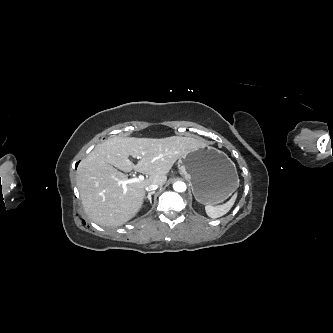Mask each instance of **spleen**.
Masks as SVG:
<instances>
[{
  "mask_svg": "<svg viewBox=\"0 0 333 333\" xmlns=\"http://www.w3.org/2000/svg\"><path fill=\"white\" fill-rule=\"evenodd\" d=\"M238 184H239V180H238ZM236 198H237V194H234L231 197V199L223 205H219V206L206 205L205 211H206L207 215L211 218L221 217L229 212V210L234 205Z\"/></svg>",
  "mask_w": 333,
  "mask_h": 333,
  "instance_id": "1",
  "label": "spleen"
}]
</instances>
